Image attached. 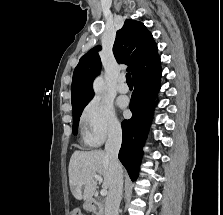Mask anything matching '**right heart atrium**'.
<instances>
[{"label":"right heart atrium","mask_w":223,"mask_h":215,"mask_svg":"<svg viewBox=\"0 0 223 215\" xmlns=\"http://www.w3.org/2000/svg\"><path fill=\"white\" fill-rule=\"evenodd\" d=\"M80 122L88 142L101 143L120 132L113 107L100 98H93L86 104Z\"/></svg>","instance_id":"1"}]
</instances>
